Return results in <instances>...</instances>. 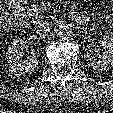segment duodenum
Masks as SVG:
<instances>
[{
    "label": "duodenum",
    "instance_id": "obj_1",
    "mask_svg": "<svg viewBox=\"0 0 113 113\" xmlns=\"http://www.w3.org/2000/svg\"><path fill=\"white\" fill-rule=\"evenodd\" d=\"M71 17L78 23V24H85L87 19L83 15L71 14ZM20 25L22 29H26L29 26V20L26 17H23L20 21Z\"/></svg>",
    "mask_w": 113,
    "mask_h": 113
}]
</instances>
